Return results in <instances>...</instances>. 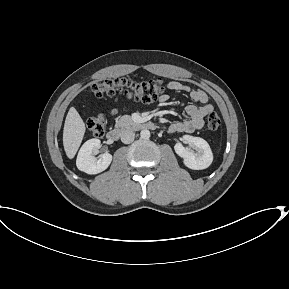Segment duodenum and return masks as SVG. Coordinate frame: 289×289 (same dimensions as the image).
<instances>
[{"mask_svg":"<svg viewBox=\"0 0 289 289\" xmlns=\"http://www.w3.org/2000/svg\"><path fill=\"white\" fill-rule=\"evenodd\" d=\"M133 127L136 129H153L155 127L154 123L152 122H147V123H139L135 124ZM124 128H113L108 131L107 133V139L110 142H115L119 140Z\"/></svg>","mask_w":289,"mask_h":289,"instance_id":"duodenum-1","label":"duodenum"}]
</instances>
